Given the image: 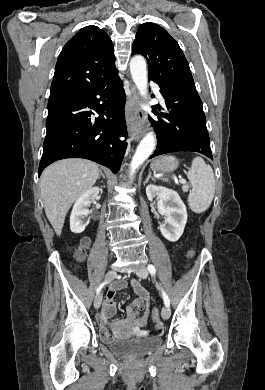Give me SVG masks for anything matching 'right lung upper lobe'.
<instances>
[{
	"label": "right lung upper lobe",
	"instance_id": "right-lung-upper-lobe-1",
	"mask_svg": "<svg viewBox=\"0 0 265 390\" xmlns=\"http://www.w3.org/2000/svg\"><path fill=\"white\" fill-rule=\"evenodd\" d=\"M113 51L112 41L104 31L94 25L82 28L58 57L50 97L86 87L116 70Z\"/></svg>",
	"mask_w": 265,
	"mask_h": 390
}]
</instances>
